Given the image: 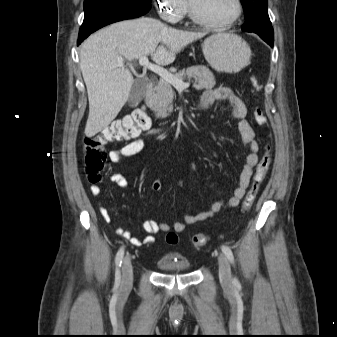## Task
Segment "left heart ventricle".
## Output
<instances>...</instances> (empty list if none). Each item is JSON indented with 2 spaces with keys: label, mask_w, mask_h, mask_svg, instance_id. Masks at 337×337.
I'll return each mask as SVG.
<instances>
[{
  "label": "left heart ventricle",
  "mask_w": 337,
  "mask_h": 337,
  "mask_svg": "<svg viewBox=\"0 0 337 337\" xmlns=\"http://www.w3.org/2000/svg\"><path fill=\"white\" fill-rule=\"evenodd\" d=\"M197 14L211 22H224L234 13L233 0H191Z\"/></svg>",
  "instance_id": "obj_1"
}]
</instances>
